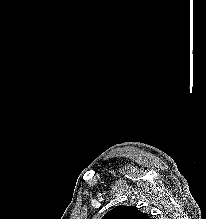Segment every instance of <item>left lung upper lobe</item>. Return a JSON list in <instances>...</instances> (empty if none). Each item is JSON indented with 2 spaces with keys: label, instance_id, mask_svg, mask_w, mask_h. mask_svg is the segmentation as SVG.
<instances>
[{
  "label": "left lung upper lobe",
  "instance_id": "5c2ea615",
  "mask_svg": "<svg viewBox=\"0 0 206 219\" xmlns=\"http://www.w3.org/2000/svg\"><path fill=\"white\" fill-rule=\"evenodd\" d=\"M102 219H150V217L135 207L119 205L108 211Z\"/></svg>",
  "mask_w": 206,
  "mask_h": 219
}]
</instances>
